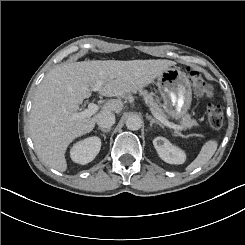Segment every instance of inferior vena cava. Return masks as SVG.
<instances>
[{"instance_id":"602c4592","label":"inferior vena cava","mask_w":245,"mask_h":245,"mask_svg":"<svg viewBox=\"0 0 245 245\" xmlns=\"http://www.w3.org/2000/svg\"><path fill=\"white\" fill-rule=\"evenodd\" d=\"M115 123V115L111 111H102L97 115V124L101 128H110Z\"/></svg>"}]
</instances>
